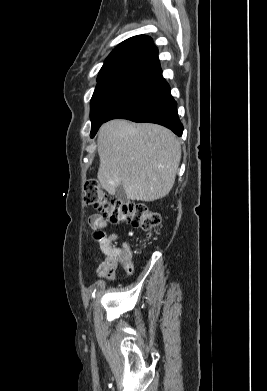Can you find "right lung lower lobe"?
I'll return each instance as SVG.
<instances>
[{"instance_id":"obj_1","label":"right lung lower lobe","mask_w":267,"mask_h":391,"mask_svg":"<svg viewBox=\"0 0 267 391\" xmlns=\"http://www.w3.org/2000/svg\"><path fill=\"white\" fill-rule=\"evenodd\" d=\"M176 105L170 94V87L160 73L115 108L104 122L124 118L135 122L156 123L181 136L183 125Z\"/></svg>"}]
</instances>
